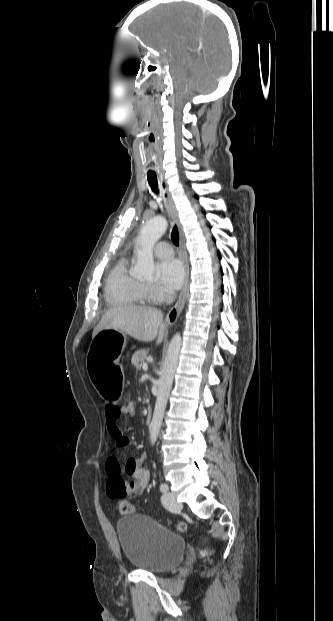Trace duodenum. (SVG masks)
<instances>
[{
	"mask_svg": "<svg viewBox=\"0 0 333 621\" xmlns=\"http://www.w3.org/2000/svg\"><path fill=\"white\" fill-rule=\"evenodd\" d=\"M151 420H152V409L148 408L147 409V413H146V422L149 423V422H151Z\"/></svg>",
	"mask_w": 333,
	"mask_h": 621,
	"instance_id": "obj_1",
	"label": "duodenum"
}]
</instances>
